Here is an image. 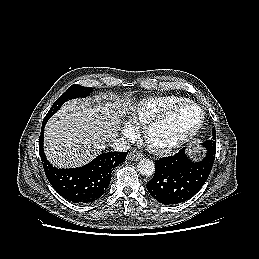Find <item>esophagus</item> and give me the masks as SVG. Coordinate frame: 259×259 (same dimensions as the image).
<instances>
[{"instance_id":"34e87169","label":"esophagus","mask_w":259,"mask_h":259,"mask_svg":"<svg viewBox=\"0 0 259 259\" xmlns=\"http://www.w3.org/2000/svg\"><path fill=\"white\" fill-rule=\"evenodd\" d=\"M128 160L130 161H138L139 159L142 158V155L140 153H137L135 151L129 152L127 156Z\"/></svg>"}]
</instances>
